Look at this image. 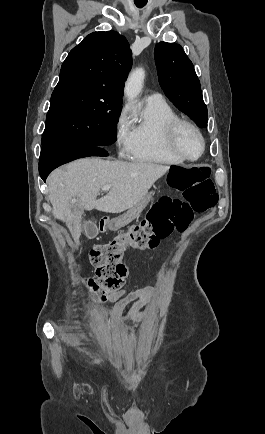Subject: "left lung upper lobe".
<instances>
[{
    "instance_id": "left-lung-upper-lobe-1",
    "label": "left lung upper lobe",
    "mask_w": 265,
    "mask_h": 434,
    "mask_svg": "<svg viewBox=\"0 0 265 434\" xmlns=\"http://www.w3.org/2000/svg\"><path fill=\"white\" fill-rule=\"evenodd\" d=\"M159 83L179 110L201 128L207 127V107L194 66L176 43L160 42L154 50Z\"/></svg>"
}]
</instances>
